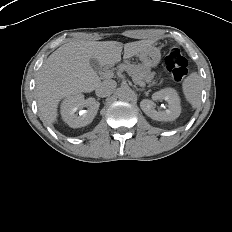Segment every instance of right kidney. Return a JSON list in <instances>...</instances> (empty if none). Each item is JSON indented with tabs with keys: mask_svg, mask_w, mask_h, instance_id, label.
Wrapping results in <instances>:
<instances>
[{
	"mask_svg": "<svg viewBox=\"0 0 232 232\" xmlns=\"http://www.w3.org/2000/svg\"><path fill=\"white\" fill-rule=\"evenodd\" d=\"M100 103L94 98L84 99L79 93L66 96L61 103V116L65 123L71 128H80L90 124L97 111ZM87 107V110H82ZM79 111V116L76 112Z\"/></svg>",
	"mask_w": 232,
	"mask_h": 232,
	"instance_id": "obj_1",
	"label": "right kidney"
}]
</instances>
